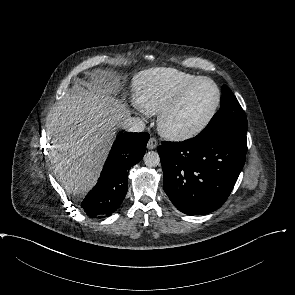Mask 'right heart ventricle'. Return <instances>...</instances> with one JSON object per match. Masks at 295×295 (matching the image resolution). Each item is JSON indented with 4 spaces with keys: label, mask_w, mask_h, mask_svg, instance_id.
Returning <instances> with one entry per match:
<instances>
[{
    "label": "right heart ventricle",
    "mask_w": 295,
    "mask_h": 295,
    "mask_svg": "<svg viewBox=\"0 0 295 295\" xmlns=\"http://www.w3.org/2000/svg\"><path fill=\"white\" fill-rule=\"evenodd\" d=\"M197 77L172 68L146 71L138 78L139 103L145 112L159 113L184 86Z\"/></svg>",
    "instance_id": "e07e8e85"
}]
</instances>
